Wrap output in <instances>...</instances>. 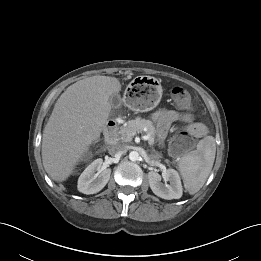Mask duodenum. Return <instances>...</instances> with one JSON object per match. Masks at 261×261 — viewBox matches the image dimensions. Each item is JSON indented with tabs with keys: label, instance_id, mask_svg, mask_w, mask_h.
I'll list each match as a JSON object with an SVG mask.
<instances>
[{
	"label": "duodenum",
	"instance_id": "obj_1",
	"mask_svg": "<svg viewBox=\"0 0 261 261\" xmlns=\"http://www.w3.org/2000/svg\"><path fill=\"white\" fill-rule=\"evenodd\" d=\"M104 136L109 145H115L117 143V124L113 119H109L106 122Z\"/></svg>",
	"mask_w": 261,
	"mask_h": 261
}]
</instances>
